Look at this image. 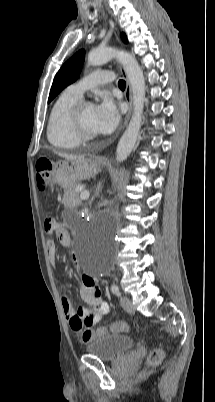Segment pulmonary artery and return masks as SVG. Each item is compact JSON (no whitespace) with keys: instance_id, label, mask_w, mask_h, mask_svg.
Segmentation results:
<instances>
[{"instance_id":"obj_1","label":"pulmonary artery","mask_w":215,"mask_h":402,"mask_svg":"<svg viewBox=\"0 0 215 402\" xmlns=\"http://www.w3.org/2000/svg\"><path fill=\"white\" fill-rule=\"evenodd\" d=\"M114 80V74L110 71H95L85 76L77 83L68 87L70 91L82 97L86 90L97 85L106 84Z\"/></svg>"}]
</instances>
